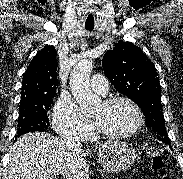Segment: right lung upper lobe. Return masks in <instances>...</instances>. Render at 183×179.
<instances>
[{
	"instance_id": "1",
	"label": "right lung upper lobe",
	"mask_w": 183,
	"mask_h": 179,
	"mask_svg": "<svg viewBox=\"0 0 183 179\" xmlns=\"http://www.w3.org/2000/svg\"><path fill=\"white\" fill-rule=\"evenodd\" d=\"M56 56L54 46H46L33 57L24 74L20 102L56 94Z\"/></svg>"
}]
</instances>
